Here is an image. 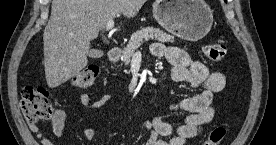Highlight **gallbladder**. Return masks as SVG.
Wrapping results in <instances>:
<instances>
[{
	"label": "gallbladder",
	"mask_w": 276,
	"mask_h": 145,
	"mask_svg": "<svg viewBox=\"0 0 276 145\" xmlns=\"http://www.w3.org/2000/svg\"><path fill=\"white\" fill-rule=\"evenodd\" d=\"M98 50H95V49H92L90 52H89V57L91 58H97L98 57Z\"/></svg>",
	"instance_id": "bac80fb5"
}]
</instances>
